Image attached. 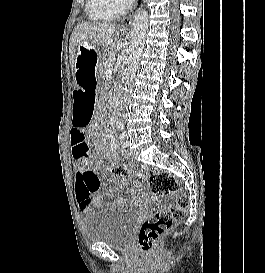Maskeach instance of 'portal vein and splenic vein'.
<instances>
[{
	"instance_id": "18ae733b",
	"label": "portal vein and splenic vein",
	"mask_w": 265,
	"mask_h": 273,
	"mask_svg": "<svg viewBox=\"0 0 265 273\" xmlns=\"http://www.w3.org/2000/svg\"><path fill=\"white\" fill-rule=\"evenodd\" d=\"M112 71H113V68H108V69L106 70V74H107V75H108V74H111Z\"/></svg>"
}]
</instances>
